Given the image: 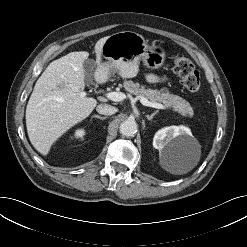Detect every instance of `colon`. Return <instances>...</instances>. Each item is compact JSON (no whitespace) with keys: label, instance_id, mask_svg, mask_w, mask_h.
Wrapping results in <instances>:
<instances>
[{"label":"colon","instance_id":"obj_1","mask_svg":"<svg viewBox=\"0 0 247 247\" xmlns=\"http://www.w3.org/2000/svg\"><path fill=\"white\" fill-rule=\"evenodd\" d=\"M173 69L187 90L191 92L199 90L201 85L200 74L188 58L179 55L174 56Z\"/></svg>","mask_w":247,"mask_h":247}]
</instances>
